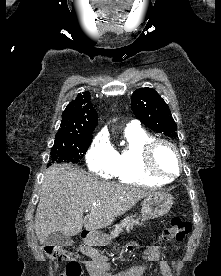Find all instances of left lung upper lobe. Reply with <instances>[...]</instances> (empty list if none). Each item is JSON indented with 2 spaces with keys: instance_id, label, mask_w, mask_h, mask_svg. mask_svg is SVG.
<instances>
[{
  "instance_id": "5c2ea615",
  "label": "left lung upper lobe",
  "mask_w": 221,
  "mask_h": 276,
  "mask_svg": "<svg viewBox=\"0 0 221 276\" xmlns=\"http://www.w3.org/2000/svg\"><path fill=\"white\" fill-rule=\"evenodd\" d=\"M131 107L135 116L147 127L167 136H177V126L170 109L152 88H141L133 92Z\"/></svg>"
}]
</instances>
